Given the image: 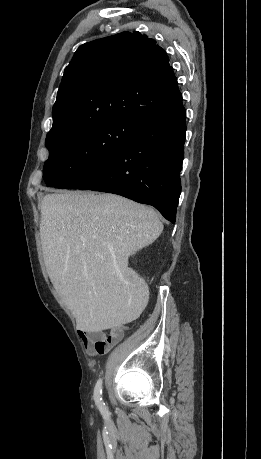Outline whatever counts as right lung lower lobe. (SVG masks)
Returning <instances> with one entry per match:
<instances>
[{
	"instance_id": "right-lung-lower-lobe-1",
	"label": "right lung lower lobe",
	"mask_w": 261,
	"mask_h": 459,
	"mask_svg": "<svg viewBox=\"0 0 261 459\" xmlns=\"http://www.w3.org/2000/svg\"><path fill=\"white\" fill-rule=\"evenodd\" d=\"M185 119L181 101L145 122L116 156L71 188L114 193L152 205L175 223L181 193Z\"/></svg>"
}]
</instances>
